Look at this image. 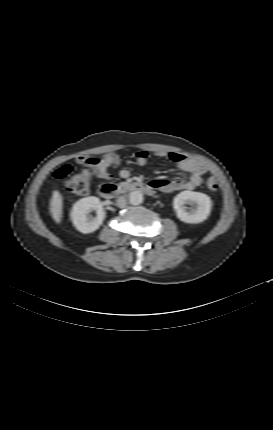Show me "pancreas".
I'll return each mask as SVG.
<instances>
[{
    "instance_id": "cf45deb5",
    "label": "pancreas",
    "mask_w": 273,
    "mask_h": 430,
    "mask_svg": "<svg viewBox=\"0 0 273 430\" xmlns=\"http://www.w3.org/2000/svg\"><path fill=\"white\" fill-rule=\"evenodd\" d=\"M124 186H126V183L124 182L119 184V187H124Z\"/></svg>"
}]
</instances>
